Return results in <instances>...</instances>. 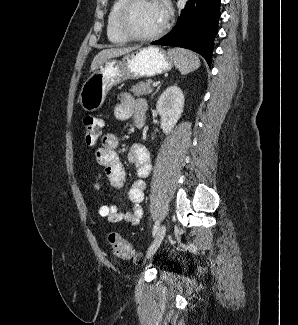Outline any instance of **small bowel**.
Returning a JSON list of instances; mask_svg holds the SVG:
<instances>
[{
    "label": "small bowel",
    "mask_w": 298,
    "mask_h": 325,
    "mask_svg": "<svg viewBox=\"0 0 298 325\" xmlns=\"http://www.w3.org/2000/svg\"><path fill=\"white\" fill-rule=\"evenodd\" d=\"M145 102L137 100L129 93H123L119 97V103L115 107V116L119 120H127L134 113L137 103ZM146 103V102H145ZM119 145L118 137L113 133H106L101 138V146L95 151L97 163L104 169L96 175L94 188L100 190V180L105 175L114 188H121L125 181V172L123 165L117 153ZM128 162L135 168L138 179L134 180L128 190V198L132 203V209L127 212H121L117 204L102 205L99 210V216L107 218L111 223L124 222L130 225L139 223L142 215V201L144 199V190L146 183L144 179L148 177L151 171L150 155L147 149L134 144L128 152Z\"/></svg>",
    "instance_id": "obj_1"
}]
</instances>
